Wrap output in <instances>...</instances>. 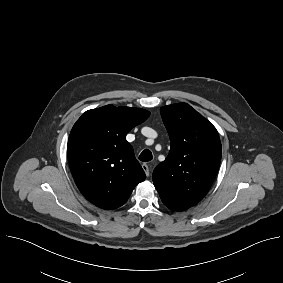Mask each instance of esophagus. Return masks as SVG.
<instances>
[{"instance_id": "1", "label": "esophagus", "mask_w": 283, "mask_h": 283, "mask_svg": "<svg viewBox=\"0 0 283 283\" xmlns=\"http://www.w3.org/2000/svg\"><path fill=\"white\" fill-rule=\"evenodd\" d=\"M142 168L145 171L146 175L149 176V174H150L149 166L144 163V164H142Z\"/></svg>"}]
</instances>
